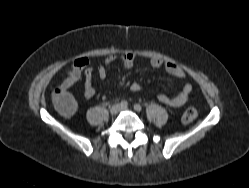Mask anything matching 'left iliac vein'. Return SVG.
<instances>
[{"mask_svg":"<svg viewBox=\"0 0 249 188\" xmlns=\"http://www.w3.org/2000/svg\"><path fill=\"white\" fill-rule=\"evenodd\" d=\"M121 110H128L127 107H120Z\"/></svg>","mask_w":249,"mask_h":188,"instance_id":"1","label":"left iliac vein"}]
</instances>
